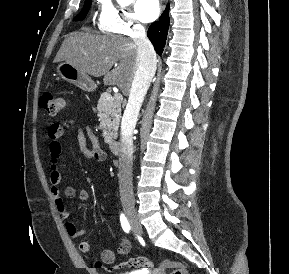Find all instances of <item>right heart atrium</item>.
Listing matches in <instances>:
<instances>
[{"label":"right heart atrium","instance_id":"1","mask_svg":"<svg viewBox=\"0 0 289 274\" xmlns=\"http://www.w3.org/2000/svg\"><path fill=\"white\" fill-rule=\"evenodd\" d=\"M98 26L105 32L131 37L141 33L144 29L135 14L119 8L111 0H101Z\"/></svg>","mask_w":289,"mask_h":274}]
</instances>
